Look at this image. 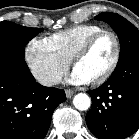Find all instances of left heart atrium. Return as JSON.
Masks as SVG:
<instances>
[{
	"label": "left heart atrium",
	"mask_w": 139,
	"mask_h": 139,
	"mask_svg": "<svg viewBox=\"0 0 139 139\" xmlns=\"http://www.w3.org/2000/svg\"><path fill=\"white\" fill-rule=\"evenodd\" d=\"M70 82L75 83V84H86V83L91 82V79L88 78L83 73H81L79 70L74 69Z\"/></svg>",
	"instance_id": "1"
}]
</instances>
